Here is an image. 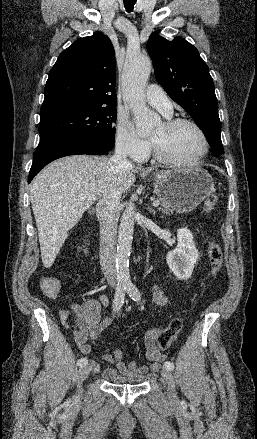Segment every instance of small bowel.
<instances>
[{
	"instance_id": "1",
	"label": "small bowel",
	"mask_w": 257,
	"mask_h": 439,
	"mask_svg": "<svg viewBox=\"0 0 257 439\" xmlns=\"http://www.w3.org/2000/svg\"><path fill=\"white\" fill-rule=\"evenodd\" d=\"M152 303L161 306L168 304L164 292L157 285L153 287ZM101 305H108V299L105 295H102L99 301L90 299L83 303H73L70 306V311H62L60 313V319L64 325L68 324V319L71 315L75 317L77 325L75 343L80 352L85 355L91 352V346L87 343V339L97 338L111 324V319H101ZM160 330L159 328H149L144 334L146 358L153 362L150 367L139 365L135 362H125L122 351L114 349L111 353L102 355L103 360L112 365V367L103 371V377L108 381L114 382H145L153 373L160 369V364L165 360V354L158 350L155 345ZM88 365L93 373L100 371V366L95 360L89 359Z\"/></svg>"
}]
</instances>
